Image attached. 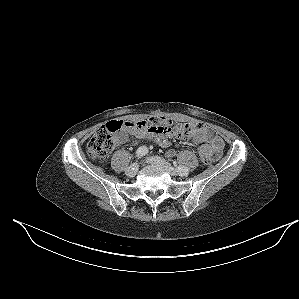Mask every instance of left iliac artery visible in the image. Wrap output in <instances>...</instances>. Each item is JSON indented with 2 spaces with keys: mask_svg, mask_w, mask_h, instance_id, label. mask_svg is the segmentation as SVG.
Returning a JSON list of instances; mask_svg holds the SVG:
<instances>
[{
  "mask_svg": "<svg viewBox=\"0 0 299 299\" xmlns=\"http://www.w3.org/2000/svg\"><path fill=\"white\" fill-rule=\"evenodd\" d=\"M177 172L181 175V176H185L189 173L188 169L184 166H178L177 167Z\"/></svg>",
  "mask_w": 299,
  "mask_h": 299,
  "instance_id": "obj_1",
  "label": "left iliac artery"
}]
</instances>
